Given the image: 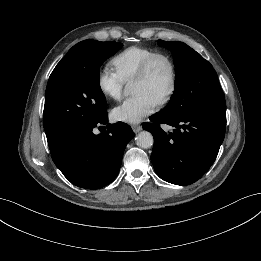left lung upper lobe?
<instances>
[{
	"instance_id": "obj_1",
	"label": "left lung upper lobe",
	"mask_w": 261,
	"mask_h": 261,
	"mask_svg": "<svg viewBox=\"0 0 261 261\" xmlns=\"http://www.w3.org/2000/svg\"><path fill=\"white\" fill-rule=\"evenodd\" d=\"M158 44L172 52L177 75L175 91L161 113L178 117L226 106L217 74L207 60L182 42L158 40Z\"/></svg>"
}]
</instances>
